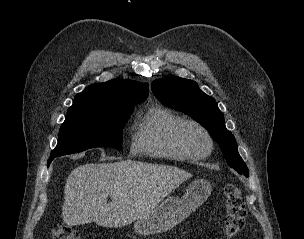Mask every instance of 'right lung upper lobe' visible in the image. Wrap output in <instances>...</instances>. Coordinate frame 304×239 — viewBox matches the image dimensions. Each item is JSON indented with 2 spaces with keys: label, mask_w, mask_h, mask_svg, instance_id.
I'll return each instance as SVG.
<instances>
[{
  "label": "right lung upper lobe",
  "mask_w": 304,
  "mask_h": 239,
  "mask_svg": "<svg viewBox=\"0 0 304 239\" xmlns=\"http://www.w3.org/2000/svg\"><path fill=\"white\" fill-rule=\"evenodd\" d=\"M149 93L147 83L110 80L90 85L74 98L68 113L118 111L143 102Z\"/></svg>",
  "instance_id": "1"
}]
</instances>
